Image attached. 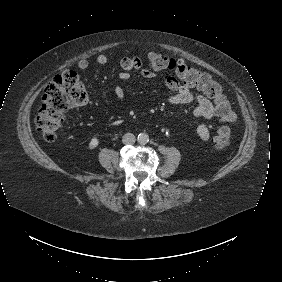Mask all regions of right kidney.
Segmentation results:
<instances>
[{
  "instance_id": "right-kidney-1",
  "label": "right kidney",
  "mask_w": 282,
  "mask_h": 282,
  "mask_svg": "<svg viewBox=\"0 0 282 282\" xmlns=\"http://www.w3.org/2000/svg\"><path fill=\"white\" fill-rule=\"evenodd\" d=\"M99 141L96 137L92 138L90 143H89V149H94L98 146Z\"/></svg>"
}]
</instances>
